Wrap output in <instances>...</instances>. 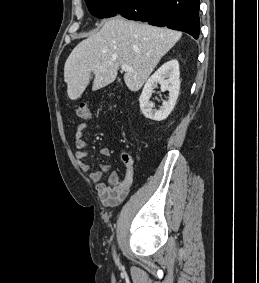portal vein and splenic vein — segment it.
<instances>
[{"label":"portal vein and splenic vein","instance_id":"portal-vein-and-splenic-vein-1","mask_svg":"<svg viewBox=\"0 0 259 283\" xmlns=\"http://www.w3.org/2000/svg\"><path fill=\"white\" fill-rule=\"evenodd\" d=\"M122 71H133V68H131L130 66H128L127 64H123L121 66Z\"/></svg>","mask_w":259,"mask_h":283}]
</instances>
